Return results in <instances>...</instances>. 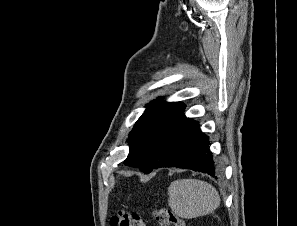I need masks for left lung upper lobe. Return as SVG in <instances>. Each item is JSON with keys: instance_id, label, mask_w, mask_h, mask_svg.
<instances>
[{"instance_id": "5c2ea615", "label": "left lung upper lobe", "mask_w": 297, "mask_h": 226, "mask_svg": "<svg viewBox=\"0 0 297 226\" xmlns=\"http://www.w3.org/2000/svg\"><path fill=\"white\" fill-rule=\"evenodd\" d=\"M148 106L129 134L130 151L124 161L145 173L153 170L187 120L181 102L158 99Z\"/></svg>"}]
</instances>
